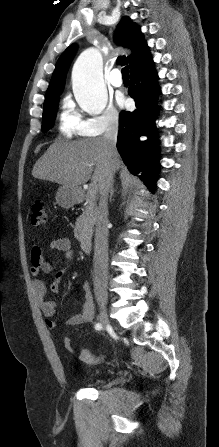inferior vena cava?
I'll return each mask as SVG.
<instances>
[{
  "mask_svg": "<svg viewBox=\"0 0 219 447\" xmlns=\"http://www.w3.org/2000/svg\"><path fill=\"white\" fill-rule=\"evenodd\" d=\"M118 135V122L112 120L108 123L104 133L105 149L109 158V169L100 185L99 214L96 220L95 252H94V291L96 297L104 296L108 276V196L111 190L115 172L114 157L117 153L116 141Z\"/></svg>",
  "mask_w": 219,
  "mask_h": 447,
  "instance_id": "602c4592",
  "label": "inferior vena cava"
}]
</instances>
